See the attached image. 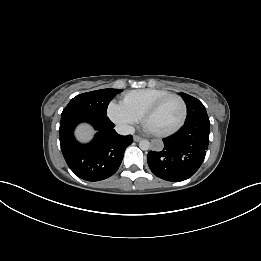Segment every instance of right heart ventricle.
I'll list each match as a JSON object with an SVG mask.
<instances>
[{
    "instance_id": "e07e8e85",
    "label": "right heart ventricle",
    "mask_w": 261,
    "mask_h": 261,
    "mask_svg": "<svg viewBox=\"0 0 261 261\" xmlns=\"http://www.w3.org/2000/svg\"><path fill=\"white\" fill-rule=\"evenodd\" d=\"M167 94V90L157 88L133 90L124 94L121 103L140 119L152 103Z\"/></svg>"
}]
</instances>
